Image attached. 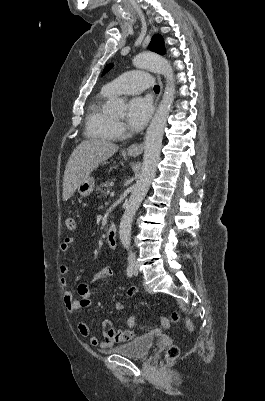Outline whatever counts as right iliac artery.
Listing matches in <instances>:
<instances>
[{"instance_id": "82829eb1", "label": "right iliac artery", "mask_w": 265, "mask_h": 401, "mask_svg": "<svg viewBox=\"0 0 265 401\" xmlns=\"http://www.w3.org/2000/svg\"><path fill=\"white\" fill-rule=\"evenodd\" d=\"M126 274L128 277H132L133 276V268L131 265H128L127 270H126Z\"/></svg>"}]
</instances>
